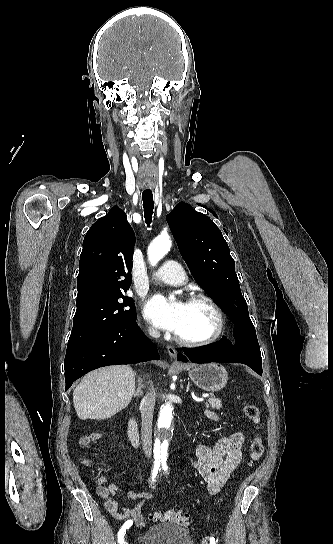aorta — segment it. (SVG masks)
<instances>
[{"mask_svg":"<svg viewBox=\"0 0 333 544\" xmlns=\"http://www.w3.org/2000/svg\"><path fill=\"white\" fill-rule=\"evenodd\" d=\"M171 240L168 235H160L153 240L148 247V259L152 265H156L170 250ZM172 406L167 403L161 408L157 429L155 432V455L165 458L171 439Z\"/></svg>","mask_w":333,"mask_h":544,"instance_id":"1","label":"aorta"}]
</instances>
